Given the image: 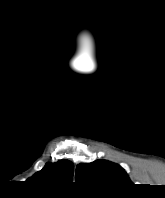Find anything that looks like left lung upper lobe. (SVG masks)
I'll return each instance as SVG.
<instances>
[{"instance_id": "left-lung-upper-lobe-1", "label": "left lung upper lobe", "mask_w": 165, "mask_h": 198, "mask_svg": "<svg viewBox=\"0 0 165 198\" xmlns=\"http://www.w3.org/2000/svg\"><path fill=\"white\" fill-rule=\"evenodd\" d=\"M75 179L79 184L105 191L119 190L132 184L122 167L107 160L77 165Z\"/></svg>"}]
</instances>
